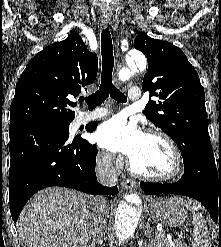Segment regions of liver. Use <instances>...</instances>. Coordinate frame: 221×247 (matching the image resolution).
Returning <instances> with one entry per match:
<instances>
[{
    "instance_id": "6515ba94",
    "label": "liver",
    "mask_w": 221,
    "mask_h": 247,
    "mask_svg": "<svg viewBox=\"0 0 221 247\" xmlns=\"http://www.w3.org/2000/svg\"><path fill=\"white\" fill-rule=\"evenodd\" d=\"M95 199L58 187L38 192L16 224L24 247H91Z\"/></svg>"
}]
</instances>
